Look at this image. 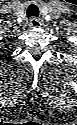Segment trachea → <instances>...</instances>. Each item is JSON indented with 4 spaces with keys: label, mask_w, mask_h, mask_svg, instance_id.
Returning a JSON list of instances; mask_svg holds the SVG:
<instances>
[{
    "label": "trachea",
    "mask_w": 77,
    "mask_h": 125,
    "mask_svg": "<svg viewBox=\"0 0 77 125\" xmlns=\"http://www.w3.org/2000/svg\"><path fill=\"white\" fill-rule=\"evenodd\" d=\"M38 15H39V10L37 6L34 4L30 5L27 10V16L31 17V16H38Z\"/></svg>",
    "instance_id": "3493384b"
}]
</instances>
